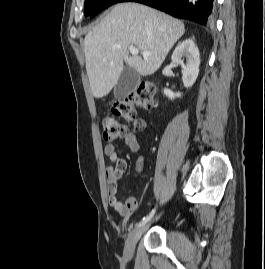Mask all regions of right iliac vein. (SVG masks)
Instances as JSON below:
<instances>
[{
    "instance_id": "obj_1",
    "label": "right iliac vein",
    "mask_w": 265,
    "mask_h": 269,
    "mask_svg": "<svg viewBox=\"0 0 265 269\" xmlns=\"http://www.w3.org/2000/svg\"><path fill=\"white\" fill-rule=\"evenodd\" d=\"M158 218V217H157ZM156 218V219H157ZM150 223L144 224L135 228L129 235L126 244H125V256L127 258H132L135 250L136 243L138 242L141 235L147 230Z\"/></svg>"
}]
</instances>
